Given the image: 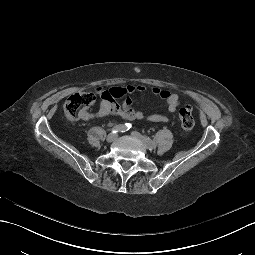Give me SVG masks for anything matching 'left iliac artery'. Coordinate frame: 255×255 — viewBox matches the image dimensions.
I'll return each mask as SVG.
<instances>
[{"label":"left iliac artery","instance_id":"1","mask_svg":"<svg viewBox=\"0 0 255 255\" xmlns=\"http://www.w3.org/2000/svg\"><path fill=\"white\" fill-rule=\"evenodd\" d=\"M144 142L148 146L155 145L154 142L149 137H146V136L144 137Z\"/></svg>","mask_w":255,"mask_h":255}]
</instances>
